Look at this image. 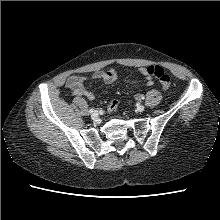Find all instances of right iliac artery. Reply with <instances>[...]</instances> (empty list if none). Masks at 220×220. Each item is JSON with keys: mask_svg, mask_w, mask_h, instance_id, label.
Wrapping results in <instances>:
<instances>
[{"mask_svg": "<svg viewBox=\"0 0 220 220\" xmlns=\"http://www.w3.org/2000/svg\"><path fill=\"white\" fill-rule=\"evenodd\" d=\"M93 112H94V109H90V110H89V113H93Z\"/></svg>", "mask_w": 220, "mask_h": 220, "instance_id": "obj_1", "label": "right iliac artery"}]
</instances>
